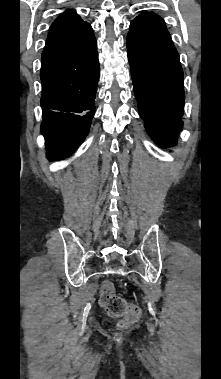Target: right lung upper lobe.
Segmentation results:
<instances>
[{
  "mask_svg": "<svg viewBox=\"0 0 221 379\" xmlns=\"http://www.w3.org/2000/svg\"><path fill=\"white\" fill-rule=\"evenodd\" d=\"M85 23L74 10L65 11L51 25L46 43L73 33Z\"/></svg>",
  "mask_w": 221,
  "mask_h": 379,
  "instance_id": "right-lung-upper-lobe-1",
  "label": "right lung upper lobe"
}]
</instances>
